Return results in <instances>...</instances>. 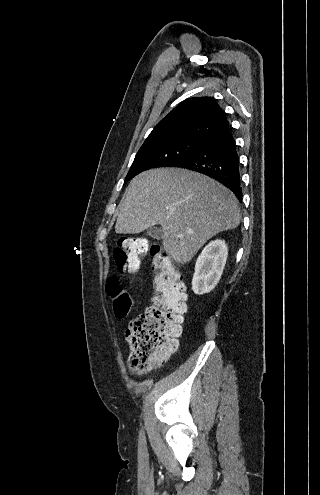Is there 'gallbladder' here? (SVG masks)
Listing matches in <instances>:
<instances>
[{"label":"gallbladder","mask_w":320,"mask_h":495,"mask_svg":"<svg viewBox=\"0 0 320 495\" xmlns=\"http://www.w3.org/2000/svg\"><path fill=\"white\" fill-rule=\"evenodd\" d=\"M147 235L150 236L153 239H161L163 237V231L161 228L158 227H150L147 230Z\"/></svg>","instance_id":"bac80fb5"}]
</instances>
